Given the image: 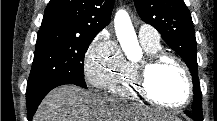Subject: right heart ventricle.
Here are the masks:
<instances>
[{"instance_id": "1", "label": "right heart ventricle", "mask_w": 217, "mask_h": 121, "mask_svg": "<svg viewBox=\"0 0 217 121\" xmlns=\"http://www.w3.org/2000/svg\"><path fill=\"white\" fill-rule=\"evenodd\" d=\"M147 55L154 54L162 50L161 45L142 42ZM108 89L110 92L120 98H134L139 96L135 82V63L125 61L118 76L111 82Z\"/></svg>"}]
</instances>
